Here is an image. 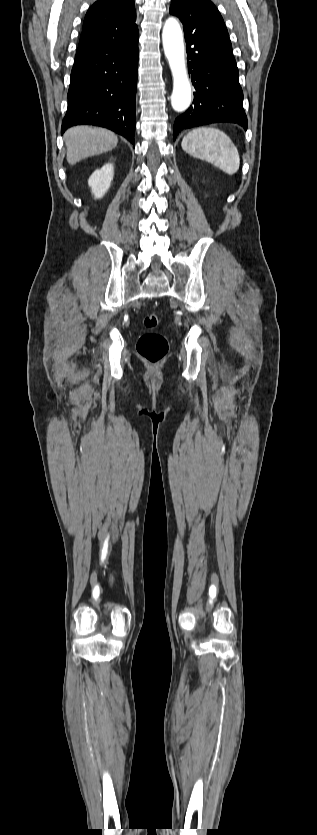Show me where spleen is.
Instances as JSON below:
<instances>
[{
	"label": "spleen",
	"instance_id": "1",
	"mask_svg": "<svg viewBox=\"0 0 317 835\" xmlns=\"http://www.w3.org/2000/svg\"><path fill=\"white\" fill-rule=\"evenodd\" d=\"M181 145L188 154L207 161L227 175H233L239 170L238 150L231 139L219 129H193L184 136Z\"/></svg>",
	"mask_w": 317,
	"mask_h": 835
}]
</instances>
